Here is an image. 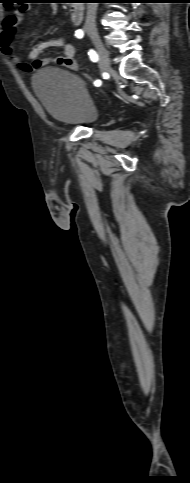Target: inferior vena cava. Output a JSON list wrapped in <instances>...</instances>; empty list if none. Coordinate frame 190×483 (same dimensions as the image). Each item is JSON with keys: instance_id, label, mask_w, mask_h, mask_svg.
<instances>
[{"instance_id": "inferior-vena-cava-1", "label": "inferior vena cava", "mask_w": 190, "mask_h": 483, "mask_svg": "<svg viewBox=\"0 0 190 483\" xmlns=\"http://www.w3.org/2000/svg\"><path fill=\"white\" fill-rule=\"evenodd\" d=\"M87 15L85 21V28H95V19L97 11V3H87Z\"/></svg>"}]
</instances>
